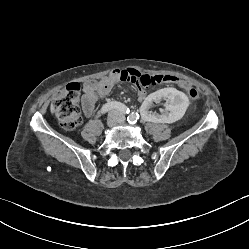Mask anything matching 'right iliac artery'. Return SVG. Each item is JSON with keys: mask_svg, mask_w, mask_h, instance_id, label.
Segmentation results:
<instances>
[{"mask_svg": "<svg viewBox=\"0 0 249 249\" xmlns=\"http://www.w3.org/2000/svg\"><path fill=\"white\" fill-rule=\"evenodd\" d=\"M117 109L119 110L122 114H128L129 113V108H127L124 104L120 102H109L106 103L105 105L102 106L101 110L99 111L100 114H105L106 112Z\"/></svg>", "mask_w": 249, "mask_h": 249, "instance_id": "1", "label": "right iliac artery"}]
</instances>
